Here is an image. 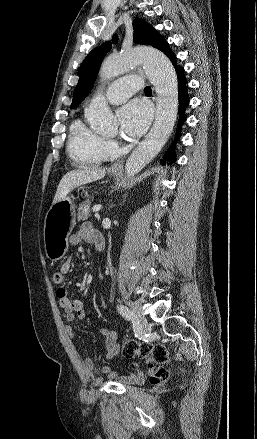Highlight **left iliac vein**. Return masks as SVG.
I'll use <instances>...</instances> for the list:
<instances>
[{"mask_svg": "<svg viewBox=\"0 0 257 439\" xmlns=\"http://www.w3.org/2000/svg\"><path fill=\"white\" fill-rule=\"evenodd\" d=\"M130 307H131V312L133 314L132 320L134 324L140 325L145 330L146 318L141 303L138 301L131 302Z\"/></svg>", "mask_w": 257, "mask_h": 439, "instance_id": "1", "label": "left iliac vein"}]
</instances>
